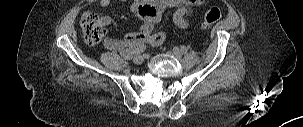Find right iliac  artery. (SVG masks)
Wrapping results in <instances>:
<instances>
[{
	"instance_id": "right-iliac-artery-1",
	"label": "right iliac artery",
	"mask_w": 303,
	"mask_h": 127,
	"mask_svg": "<svg viewBox=\"0 0 303 127\" xmlns=\"http://www.w3.org/2000/svg\"><path fill=\"white\" fill-rule=\"evenodd\" d=\"M145 50H146V46H144V45H139V46H137V47H135V48L133 49V53H134V54H141V53H143Z\"/></svg>"
}]
</instances>
